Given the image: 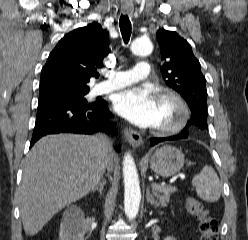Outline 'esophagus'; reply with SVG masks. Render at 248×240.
I'll list each match as a JSON object with an SVG mask.
<instances>
[{"label": "esophagus", "mask_w": 248, "mask_h": 240, "mask_svg": "<svg viewBox=\"0 0 248 240\" xmlns=\"http://www.w3.org/2000/svg\"><path fill=\"white\" fill-rule=\"evenodd\" d=\"M122 12L125 14H132L133 7L130 4H125L122 6ZM123 134L126 140L132 145L133 147H138L142 144V137L140 133L134 131L132 129H123Z\"/></svg>", "instance_id": "obj_1"}]
</instances>
